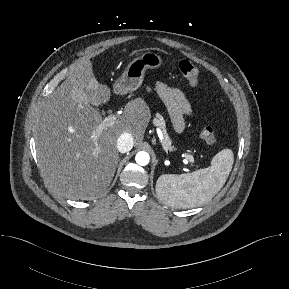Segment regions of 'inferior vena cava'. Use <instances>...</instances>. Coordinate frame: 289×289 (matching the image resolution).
<instances>
[{"mask_svg": "<svg viewBox=\"0 0 289 289\" xmlns=\"http://www.w3.org/2000/svg\"><path fill=\"white\" fill-rule=\"evenodd\" d=\"M133 137L130 133H123L117 140V149L120 153H126L133 147Z\"/></svg>", "mask_w": 289, "mask_h": 289, "instance_id": "1", "label": "inferior vena cava"}]
</instances>
